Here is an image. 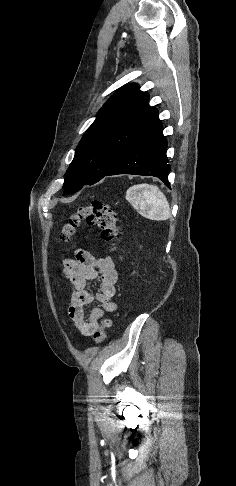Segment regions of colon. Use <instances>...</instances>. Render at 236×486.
I'll list each match as a JSON object with an SVG mask.
<instances>
[{
	"label": "colon",
	"mask_w": 236,
	"mask_h": 486,
	"mask_svg": "<svg viewBox=\"0 0 236 486\" xmlns=\"http://www.w3.org/2000/svg\"><path fill=\"white\" fill-rule=\"evenodd\" d=\"M82 221L96 226L101 232L102 239L106 242H111L113 249H115V242L120 234V226L118 224V214L112 207L99 200H91L85 206L79 207L70 215L68 221L62 227L61 240L69 241ZM110 326L111 320L104 318L101 326L93 334L96 343H101L105 340L107 329Z\"/></svg>",
	"instance_id": "colon-1"
}]
</instances>
